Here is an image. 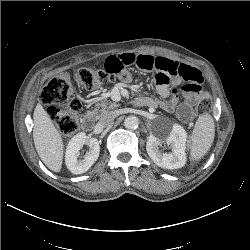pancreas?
<instances>
[{
	"label": "pancreas",
	"instance_id": "pancreas-1",
	"mask_svg": "<svg viewBox=\"0 0 250 250\" xmlns=\"http://www.w3.org/2000/svg\"><path fill=\"white\" fill-rule=\"evenodd\" d=\"M118 106H119L118 104L111 101H101L95 105V108L92 110V114L95 115L96 117H100L105 112L113 110Z\"/></svg>",
	"mask_w": 250,
	"mask_h": 250
}]
</instances>
